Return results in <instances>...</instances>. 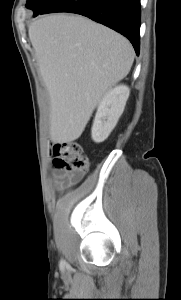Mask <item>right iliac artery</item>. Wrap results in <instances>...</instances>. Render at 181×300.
Wrapping results in <instances>:
<instances>
[{
	"label": "right iliac artery",
	"mask_w": 181,
	"mask_h": 300,
	"mask_svg": "<svg viewBox=\"0 0 181 300\" xmlns=\"http://www.w3.org/2000/svg\"><path fill=\"white\" fill-rule=\"evenodd\" d=\"M60 266H61V267H65V266H66L65 260H61V261H60Z\"/></svg>",
	"instance_id": "1"
}]
</instances>
